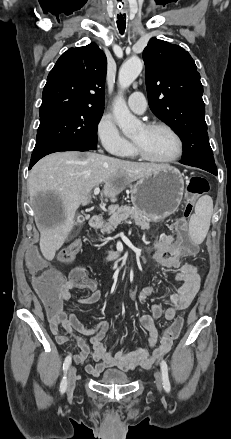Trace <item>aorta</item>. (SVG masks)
Segmentation results:
<instances>
[{
  "label": "aorta",
  "instance_id": "obj_1",
  "mask_svg": "<svg viewBox=\"0 0 231 439\" xmlns=\"http://www.w3.org/2000/svg\"><path fill=\"white\" fill-rule=\"evenodd\" d=\"M142 68V61L137 57H133L124 62L119 70L120 93L113 104V115L124 135L128 137L137 132L140 122L130 113L122 92L138 77Z\"/></svg>",
  "mask_w": 231,
  "mask_h": 439
}]
</instances>
